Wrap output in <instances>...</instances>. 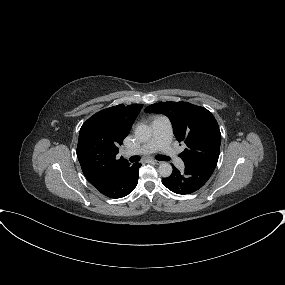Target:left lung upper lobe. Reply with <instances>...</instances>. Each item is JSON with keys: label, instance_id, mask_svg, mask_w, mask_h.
Here are the masks:
<instances>
[{"label": "left lung upper lobe", "instance_id": "5c2ea615", "mask_svg": "<svg viewBox=\"0 0 285 285\" xmlns=\"http://www.w3.org/2000/svg\"><path fill=\"white\" fill-rule=\"evenodd\" d=\"M145 111L162 113L170 119L175 137L187 145L180 154L185 165L217 164L221 133L210 111L188 102H160L148 106Z\"/></svg>", "mask_w": 285, "mask_h": 285}]
</instances>
